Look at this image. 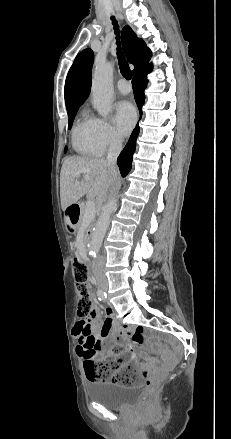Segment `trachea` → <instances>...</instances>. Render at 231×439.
Wrapping results in <instances>:
<instances>
[{
	"instance_id": "1",
	"label": "trachea",
	"mask_w": 231,
	"mask_h": 439,
	"mask_svg": "<svg viewBox=\"0 0 231 439\" xmlns=\"http://www.w3.org/2000/svg\"><path fill=\"white\" fill-rule=\"evenodd\" d=\"M111 19H112V23L114 25V30H115L117 44H118L117 57L119 60L120 71H121V74L123 75L124 78H126L127 80H130L132 77L131 70H130L129 65H128V63L123 55V52H122L120 46H119V41H118L119 40V33H120L119 26H118L117 21L115 20V18L113 16L111 17Z\"/></svg>"
}]
</instances>
